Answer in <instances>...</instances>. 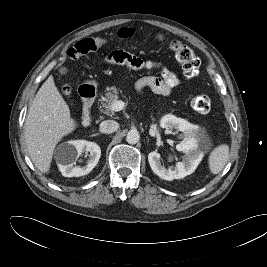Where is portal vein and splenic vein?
<instances>
[{
    "mask_svg": "<svg viewBox=\"0 0 267 267\" xmlns=\"http://www.w3.org/2000/svg\"><path fill=\"white\" fill-rule=\"evenodd\" d=\"M125 104H126L125 102H123L121 100H117V101L112 103L111 109L114 112L121 111L125 107Z\"/></svg>",
    "mask_w": 267,
    "mask_h": 267,
    "instance_id": "1",
    "label": "portal vein and splenic vein"
}]
</instances>
